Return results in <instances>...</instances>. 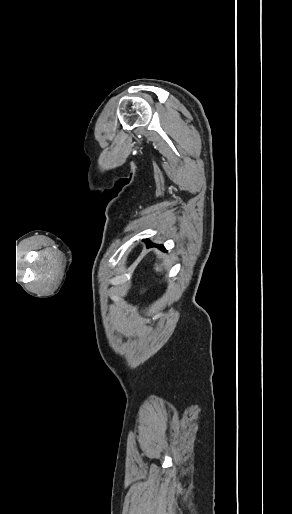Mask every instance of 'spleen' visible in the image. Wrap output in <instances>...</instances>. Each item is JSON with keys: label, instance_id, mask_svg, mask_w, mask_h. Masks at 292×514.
Wrapping results in <instances>:
<instances>
[{"label": "spleen", "instance_id": "spleen-1", "mask_svg": "<svg viewBox=\"0 0 292 514\" xmlns=\"http://www.w3.org/2000/svg\"><path fill=\"white\" fill-rule=\"evenodd\" d=\"M155 270H156V272H160V266H157V264H156Z\"/></svg>", "mask_w": 292, "mask_h": 514}]
</instances>
